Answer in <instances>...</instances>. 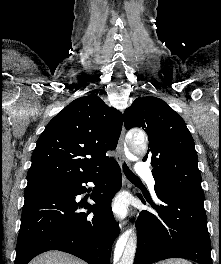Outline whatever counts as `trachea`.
<instances>
[{
    "instance_id": "1",
    "label": "trachea",
    "mask_w": 221,
    "mask_h": 264,
    "mask_svg": "<svg viewBox=\"0 0 221 264\" xmlns=\"http://www.w3.org/2000/svg\"><path fill=\"white\" fill-rule=\"evenodd\" d=\"M123 171L129 180L141 182L140 179L128 168L125 163L123 164Z\"/></svg>"
}]
</instances>
